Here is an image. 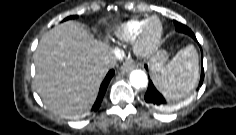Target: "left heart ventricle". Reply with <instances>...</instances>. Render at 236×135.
<instances>
[{
  "instance_id": "1",
  "label": "left heart ventricle",
  "mask_w": 236,
  "mask_h": 135,
  "mask_svg": "<svg viewBox=\"0 0 236 135\" xmlns=\"http://www.w3.org/2000/svg\"><path fill=\"white\" fill-rule=\"evenodd\" d=\"M155 31H156V25H155V23H152L150 25V33H154Z\"/></svg>"
}]
</instances>
